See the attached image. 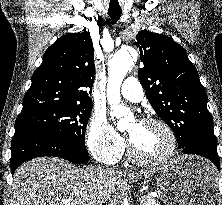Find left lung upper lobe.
Segmentation results:
<instances>
[{"label":"left lung upper lobe","instance_id":"1","mask_svg":"<svg viewBox=\"0 0 222 205\" xmlns=\"http://www.w3.org/2000/svg\"><path fill=\"white\" fill-rule=\"evenodd\" d=\"M139 79L157 115L173 130L178 148L202 142L217 147L207 95L196 67L172 38L146 30L136 36Z\"/></svg>","mask_w":222,"mask_h":205}]
</instances>
